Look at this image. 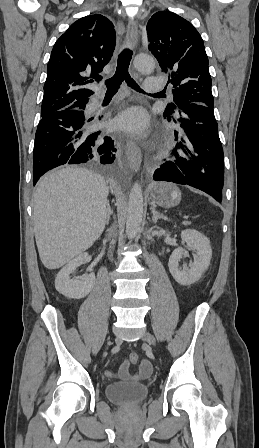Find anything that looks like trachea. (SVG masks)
<instances>
[{
  "label": "trachea",
  "mask_w": 259,
  "mask_h": 448,
  "mask_svg": "<svg viewBox=\"0 0 259 448\" xmlns=\"http://www.w3.org/2000/svg\"><path fill=\"white\" fill-rule=\"evenodd\" d=\"M132 55L133 53L131 49H123V51L119 54L115 74L113 77L108 78V80L105 81V85L107 87L106 95H113L117 93L120 85L124 81L134 90L139 91L140 93H146L129 75L128 69Z\"/></svg>",
  "instance_id": "trachea-1"
}]
</instances>
